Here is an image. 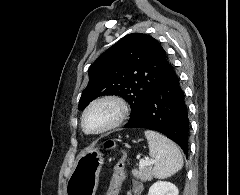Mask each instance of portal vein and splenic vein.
Masks as SVG:
<instances>
[{"mask_svg":"<svg viewBox=\"0 0 240 195\" xmlns=\"http://www.w3.org/2000/svg\"><path fill=\"white\" fill-rule=\"evenodd\" d=\"M156 159H139L140 167H144V165H152L155 163Z\"/></svg>","mask_w":240,"mask_h":195,"instance_id":"1","label":"portal vein and splenic vein"}]
</instances>
